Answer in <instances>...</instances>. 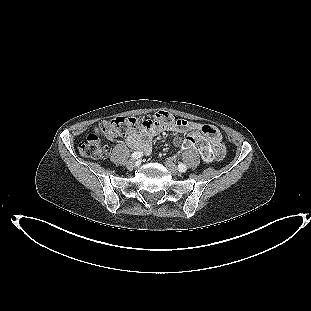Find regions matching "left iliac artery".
<instances>
[{
	"mask_svg": "<svg viewBox=\"0 0 311 311\" xmlns=\"http://www.w3.org/2000/svg\"><path fill=\"white\" fill-rule=\"evenodd\" d=\"M178 170H179L180 172H185V171L187 170V167H186V165H184V164H179V165H178Z\"/></svg>",
	"mask_w": 311,
	"mask_h": 311,
	"instance_id": "1",
	"label": "left iliac artery"
}]
</instances>
